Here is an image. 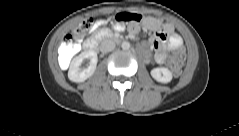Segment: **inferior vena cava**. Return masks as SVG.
I'll use <instances>...</instances> for the list:
<instances>
[{"instance_id":"1","label":"inferior vena cava","mask_w":239,"mask_h":136,"mask_svg":"<svg viewBox=\"0 0 239 136\" xmlns=\"http://www.w3.org/2000/svg\"><path fill=\"white\" fill-rule=\"evenodd\" d=\"M115 42L111 39H104L100 44V51L103 53L111 52L115 49Z\"/></svg>"}]
</instances>
